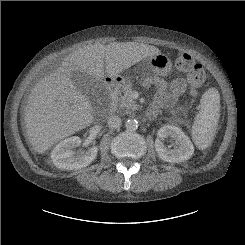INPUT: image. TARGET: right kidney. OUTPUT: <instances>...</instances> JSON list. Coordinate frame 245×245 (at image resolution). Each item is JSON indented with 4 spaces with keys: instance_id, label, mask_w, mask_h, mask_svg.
Segmentation results:
<instances>
[{
    "instance_id": "1",
    "label": "right kidney",
    "mask_w": 245,
    "mask_h": 245,
    "mask_svg": "<svg viewBox=\"0 0 245 245\" xmlns=\"http://www.w3.org/2000/svg\"><path fill=\"white\" fill-rule=\"evenodd\" d=\"M81 144L78 136L67 138L58 143L51 154L54 165L60 169L77 170L88 166L95 160L98 152L97 146L86 151L76 153L73 149Z\"/></svg>"
}]
</instances>
